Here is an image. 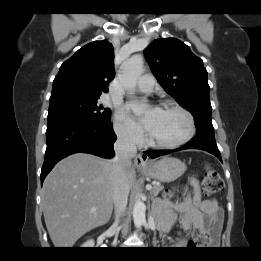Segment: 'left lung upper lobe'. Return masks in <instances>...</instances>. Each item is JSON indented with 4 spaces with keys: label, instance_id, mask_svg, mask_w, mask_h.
<instances>
[{
    "label": "left lung upper lobe",
    "instance_id": "5c2ea615",
    "mask_svg": "<svg viewBox=\"0 0 261 261\" xmlns=\"http://www.w3.org/2000/svg\"><path fill=\"white\" fill-rule=\"evenodd\" d=\"M164 90L193 115L198 132H214L207 71L189 46L175 38L154 40L144 51Z\"/></svg>",
    "mask_w": 261,
    "mask_h": 261
}]
</instances>
